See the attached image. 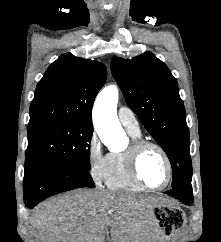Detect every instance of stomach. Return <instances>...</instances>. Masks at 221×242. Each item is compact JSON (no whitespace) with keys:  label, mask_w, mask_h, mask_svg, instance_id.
Here are the masks:
<instances>
[{"label":"stomach","mask_w":221,"mask_h":242,"mask_svg":"<svg viewBox=\"0 0 221 242\" xmlns=\"http://www.w3.org/2000/svg\"><path fill=\"white\" fill-rule=\"evenodd\" d=\"M174 208L175 206L169 202L160 203L153 208V215L158 226H164V228H174L175 223H170L169 220L171 217V212L174 210ZM175 216H177V214H175Z\"/></svg>","instance_id":"obj_1"}]
</instances>
